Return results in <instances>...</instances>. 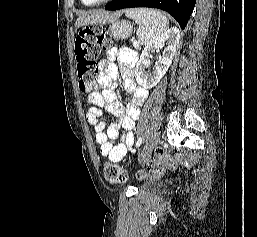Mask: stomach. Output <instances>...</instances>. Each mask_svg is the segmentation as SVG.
Returning <instances> with one entry per match:
<instances>
[{
	"mask_svg": "<svg viewBox=\"0 0 257 237\" xmlns=\"http://www.w3.org/2000/svg\"><path fill=\"white\" fill-rule=\"evenodd\" d=\"M133 26L129 21H113L108 29L110 37L116 40H124L131 36Z\"/></svg>",
	"mask_w": 257,
	"mask_h": 237,
	"instance_id": "1",
	"label": "stomach"
}]
</instances>
